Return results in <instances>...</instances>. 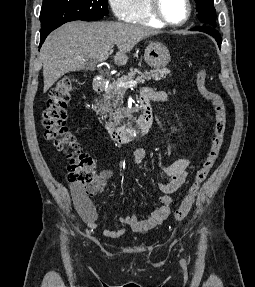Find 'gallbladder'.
Segmentation results:
<instances>
[{
	"label": "gallbladder",
	"instance_id": "bac80fb5",
	"mask_svg": "<svg viewBox=\"0 0 255 287\" xmlns=\"http://www.w3.org/2000/svg\"><path fill=\"white\" fill-rule=\"evenodd\" d=\"M85 70H89V66H86Z\"/></svg>",
	"mask_w": 255,
	"mask_h": 287
}]
</instances>
